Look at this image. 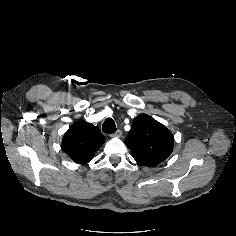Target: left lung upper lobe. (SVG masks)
Segmentation results:
<instances>
[{"instance_id": "left-lung-upper-lobe-1", "label": "left lung upper lobe", "mask_w": 236, "mask_h": 236, "mask_svg": "<svg viewBox=\"0 0 236 236\" xmlns=\"http://www.w3.org/2000/svg\"><path fill=\"white\" fill-rule=\"evenodd\" d=\"M125 143L137 163L154 167L171 154L174 137L164 125L146 114H141L133 121Z\"/></svg>"}]
</instances>
